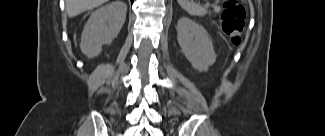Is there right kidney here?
<instances>
[{"label": "right kidney", "mask_w": 325, "mask_h": 136, "mask_svg": "<svg viewBox=\"0 0 325 136\" xmlns=\"http://www.w3.org/2000/svg\"><path fill=\"white\" fill-rule=\"evenodd\" d=\"M127 6L122 0H115L95 10L87 21L82 35L80 49L88 58L98 56L102 45L109 44L119 34L126 19Z\"/></svg>", "instance_id": "right-kidney-1"}]
</instances>
